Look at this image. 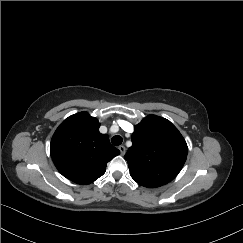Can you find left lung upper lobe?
I'll use <instances>...</instances> for the list:
<instances>
[{"mask_svg": "<svg viewBox=\"0 0 243 243\" xmlns=\"http://www.w3.org/2000/svg\"><path fill=\"white\" fill-rule=\"evenodd\" d=\"M131 139L125 159L131 177L142 186L155 188L169 183L186 161V141L165 118L145 117L134 127Z\"/></svg>", "mask_w": 243, "mask_h": 243, "instance_id": "obj_1", "label": "left lung upper lobe"}]
</instances>
